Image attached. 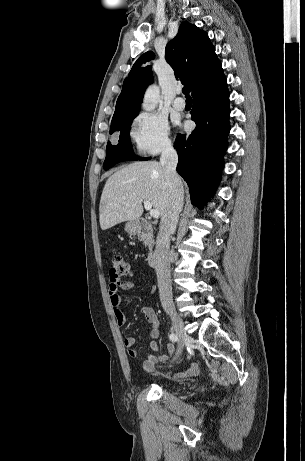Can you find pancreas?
Returning a JSON list of instances; mask_svg holds the SVG:
<instances>
[{
  "label": "pancreas",
  "mask_w": 305,
  "mask_h": 461,
  "mask_svg": "<svg viewBox=\"0 0 305 461\" xmlns=\"http://www.w3.org/2000/svg\"><path fill=\"white\" fill-rule=\"evenodd\" d=\"M143 244H144L145 246H148V248H149L150 251L152 250V241H151V240H145V241L143 242Z\"/></svg>",
  "instance_id": "cf45deb5"
}]
</instances>
